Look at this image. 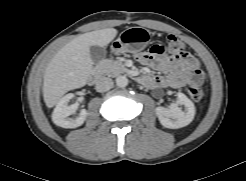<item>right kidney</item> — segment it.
<instances>
[{
    "label": "right kidney",
    "mask_w": 246,
    "mask_h": 181,
    "mask_svg": "<svg viewBox=\"0 0 246 181\" xmlns=\"http://www.w3.org/2000/svg\"><path fill=\"white\" fill-rule=\"evenodd\" d=\"M74 97V94L69 93L62 97L57 103L53 113L52 121L57 126L62 128H76L81 126L87 117V111L82 109L79 116L75 119L68 118L70 115L74 114L78 108V104L68 105V101Z\"/></svg>",
    "instance_id": "obj_1"
}]
</instances>
